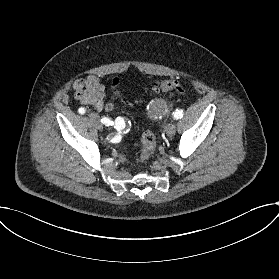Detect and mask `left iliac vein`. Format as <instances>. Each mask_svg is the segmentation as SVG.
<instances>
[{"label":"left iliac vein","mask_w":279,"mask_h":279,"mask_svg":"<svg viewBox=\"0 0 279 279\" xmlns=\"http://www.w3.org/2000/svg\"><path fill=\"white\" fill-rule=\"evenodd\" d=\"M165 129H166V133L169 137H172L175 133V126L172 122H169L166 124L165 126Z\"/></svg>","instance_id":"1"}]
</instances>
